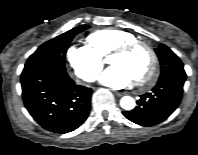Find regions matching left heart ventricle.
Returning <instances> with one entry per match:
<instances>
[{
  "label": "left heart ventricle",
  "instance_id": "1",
  "mask_svg": "<svg viewBox=\"0 0 198 155\" xmlns=\"http://www.w3.org/2000/svg\"><path fill=\"white\" fill-rule=\"evenodd\" d=\"M112 65H119L128 70L135 80L143 77L151 66L150 54L140 46L127 54H116L110 57Z\"/></svg>",
  "mask_w": 198,
  "mask_h": 155
}]
</instances>
